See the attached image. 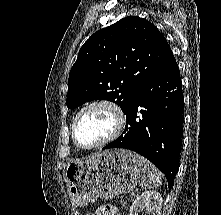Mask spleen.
Returning a JSON list of instances; mask_svg holds the SVG:
<instances>
[{"instance_id":"1","label":"spleen","mask_w":221,"mask_h":215,"mask_svg":"<svg viewBox=\"0 0 221 215\" xmlns=\"http://www.w3.org/2000/svg\"><path fill=\"white\" fill-rule=\"evenodd\" d=\"M143 175L140 186L144 189L158 187L162 183V175L157 168L145 158H141Z\"/></svg>"}]
</instances>
